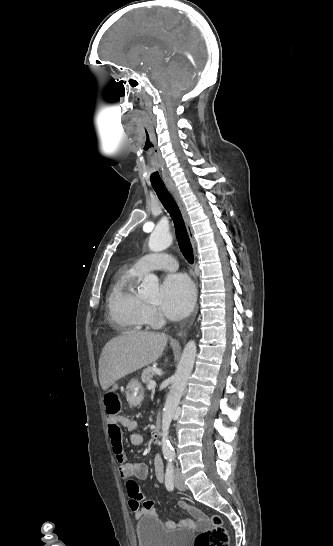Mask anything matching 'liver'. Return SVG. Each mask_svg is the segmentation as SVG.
I'll return each mask as SVG.
<instances>
[{"label": "liver", "mask_w": 333, "mask_h": 546, "mask_svg": "<svg viewBox=\"0 0 333 546\" xmlns=\"http://www.w3.org/2000/svg\"><path fill=\"white\" fill-rule=\"evenodd\" d=\"M167 336L160 333H128L111 339L99 359V381L107 390L120 378L155 362L163 353Z\"/></svg>", "instance_id": "1"}]
</instances>
